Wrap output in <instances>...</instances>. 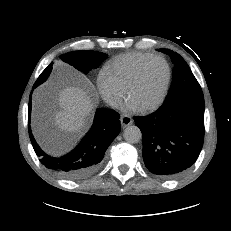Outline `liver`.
<instances>
[{"instance_id":"6515ba94","label":"liver","mask_w":231,"mask_h":231,"mask_svg":"<svg viewBox=\"0 0 231 231\" xmlns=\"http://www.w3.org/2000/svg\"><path fill=\"white\" fill-rule=\"evenodd\" d=\"M91 88L80 86L65 87L58 92V110L48 112V121L66 133L80 132L87 123V118L94 109ZM33 130L36 139L44 146L48 144V135L44 117L38 113L33 119Z\"/></svg>"}]
</instances>
